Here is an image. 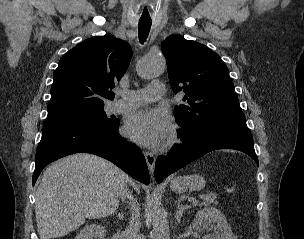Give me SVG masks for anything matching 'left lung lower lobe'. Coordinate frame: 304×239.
<instances>
[{
	"label": "left lung lower lobe",
	"instance_id": "left-lung-lower-lobe-1",
	"mask_svg": "<svg viewBox=\"0 0 304 239\" xmlns=\"http://www.w3.org/2000/svg\"><path fill=\"white\" fill-rule=\"evenodd\" d=\"M180 136L183 144L172 150L167 156H159L156 160L155 179L158 183L191 161L218 149L242 151L258 164L249 129L228 127L207 132L196 138H188L181 132Z\"/></svg>",
	"mask_w": 304,
	"mask_h": 239
}]
</instances>
